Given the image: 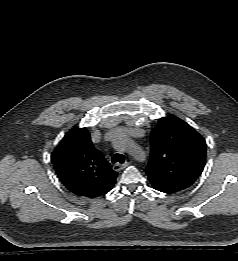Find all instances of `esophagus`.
Wrapping results in <instances>:
<instances>
[{
    "instance_id": "esophagus-1",
    "label": "esophagus",
    "mask_w": 238,
    "mask_h": 261,
    "mask_svg": "<svg viewBox=\"0 0 238 261\" xmlns=\"http://www.w3.org/2000/svg\"><path fill=\"white\" fill-rule=\"evenodd\" d=\"M129 164H130L129 161H126L123 164L116 163V164L113 165V170L114 171H120V170L126 168Z\"/></svg>"
}]
</instances>
